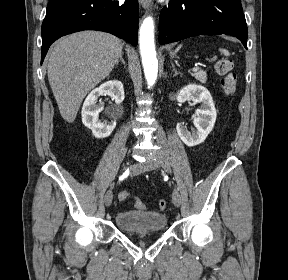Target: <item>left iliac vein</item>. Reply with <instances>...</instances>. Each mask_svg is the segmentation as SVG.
Returning <instances> with one entry per match:
<instances>
[{
  "mask_svg": "<svg viewBox=\"0 0 288 280\" xmlns=\"http://www.w3.org/2000/svg\"><path fill=\"white\" fill-rule=\"evenodd\" d=\"M162 166L164 169L168 170L169 162L166 159L149 160L141 164L144 170H155ZM172 201L176 207L181 204V196L178 191L172 193Z\"/></svg>",
  "mask_w": 288,
  "mask_h": 280,
  "instance_id": "left-iliac-vein-1",
  "label": "left iliac vein"
}]
</instances>
